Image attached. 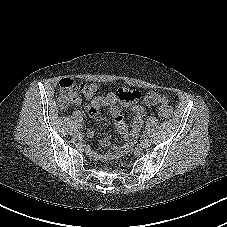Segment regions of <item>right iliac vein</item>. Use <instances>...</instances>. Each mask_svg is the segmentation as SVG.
Listing matches in <instances>:
<instances>
[{
    "mask_svg": "<svg viewBox=\"0 0 227 227\" xmlns=\"http://www.w3.org/2000/svg\"><path fill=\"white\" fill-rule=\"evenodd\" d=\"M72 135H73L74 137H79V136H81V132H80L79 130L75 129V130L72 132Z\"/></svg>",
    "mask_w": 227,
    "mask_h": 227,
    "instance_id": "obj_1",
    "label": "right iliac vein"
}]
</instances>
